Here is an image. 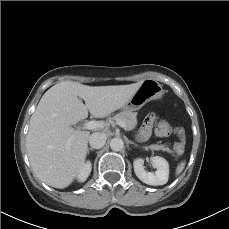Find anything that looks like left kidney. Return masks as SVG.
Instances as JSON below:
<instances>
[{
    "mask_svg": "<svg viewBox=\"0 0 229 229\" xmlns=\"http://www.w3.org/2000/svg\"><path fill=\"white\" fill-rule=\"evenodd\" d=\"M150 160L153 167L157 169L155 173L147 172L143 166L144 160L141 158H137L133 162L134 172L136 176L142 182L148 185L157 186L166 184L169 177L168 162L164 158L159 156L151 157Z\"/></svg>",
    "mask_w": 229,
    "mask_h": 229,
    "instance_id": "left-kidney-1",
    "label": "left kidney"
}]
</instances>
